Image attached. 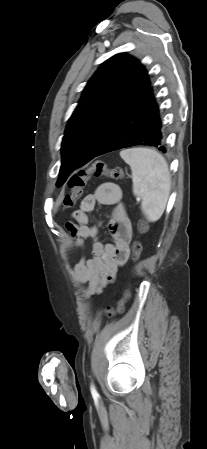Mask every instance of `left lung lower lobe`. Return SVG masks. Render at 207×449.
<instances>
[{
  "mask_svg": "<svg viewBox=\"0 0 207 449\" xmlns=\"http://www.w3.org/2000/svg\"><path fill=\"white\" fill-rule=\"evenodd\" d=\"M135 145L166 152L159 107L150 87L143 99L109 133L95 157Z\"/></svg>",
  "mask_w": 207,
  "mask_h": 449,
  "instance_id": "0a47b994",
  "label": "left lung lower lobe"
}]
</instances>
